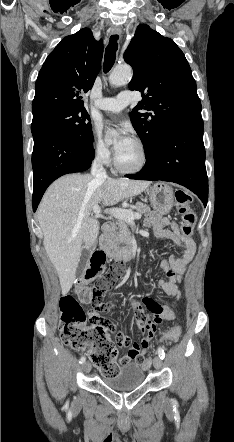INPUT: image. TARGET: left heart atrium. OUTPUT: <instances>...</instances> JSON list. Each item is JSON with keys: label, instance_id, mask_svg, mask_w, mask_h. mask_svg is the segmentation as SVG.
I'll list each match as a JSON object with an SVG mask.
<instances>
[{"label": "left heart atrium", "instance_id": "left-heart-atrium-1", "mask_svg": "<svg viewBox=\"0 0 234 442\" xmlns=\"http://www.w3.org/2000/svg\"><path fill=\"white\" fill-rule=\"evenodd\" d=\"M111 125L118 135V142L115 147V152L116 154H119L133 142V139L130 135V129L127 124L119 122Z\"/></svg>", "mask_w": 234, "mask_h": 442}]
</instances>
